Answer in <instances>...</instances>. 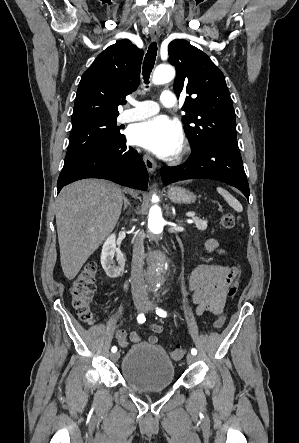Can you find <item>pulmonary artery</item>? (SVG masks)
Returning a JSON list of instances; mask_svg holds the SVG:
<instances>
[{
    "instance_id": "pulmonary-artery-1",
    "label": "pulmonary artery",
    "mask_w": 299,
    "mask_h": 443,
    "mask_svg": "<svg viewBox=\"0 0 299 443\" xmlns=\"http://www.w3.org/2000/svg\"><path fill=\"white\" fill-rule=\"evenodd\" d=\"M160 102L164 107H174L177 103L176 96L171 91H163L161 93ZM132 108L123 111L118 119L122 123L139 121L149 118L159 111V107L154 101H136L130 100Z\"/></svg>"
}]
</instances>
